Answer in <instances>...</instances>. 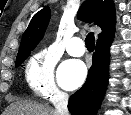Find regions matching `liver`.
<instances>
[{
    "instance_id": "6515ba94",
    "label": "liver",
    "mask_w": 131,
    "mask_h": 115,
    "mask_svg": "<svg viewBox=\"0 0 131 115\" xmlns=\"http://www.w3.org/2000/svg\"><path fill=\"white\" fill-rule=\"evenodd\" d=\"M3 115H57L56 110L44 104L30 101H17L11 104Z\"/></svg>"
}]
</instances>
